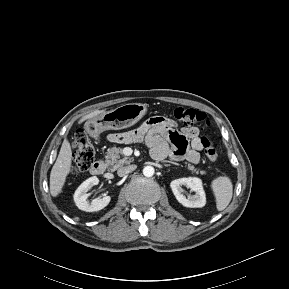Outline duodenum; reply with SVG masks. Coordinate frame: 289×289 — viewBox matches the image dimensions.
Listing matches in <instances>:
<instances>
[{"label":"duodenum","mask_w":289,"mask_h":289,"mask_svg":"<svg viewBox=\"0 0 289 289\" xmlns=\"http://www.w3.org/2000/svg\"><path fill=\"white\" fill-rule=\"evenodd\" d=\"M106 170V164L103 161H95L90 168L92 175H101Z\"/></svg>","instance_id":"duodenum-1"}]
</instances>
